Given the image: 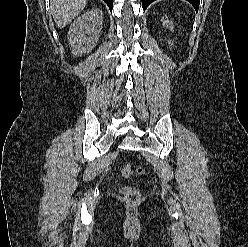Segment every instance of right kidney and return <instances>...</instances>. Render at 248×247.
Returning <instances> with one entry per match:
<instances>
[{"label":"right kidney","mask_w":248,"mask_h":247,"mask_svg":"<svg viewBox=\"0 0 248 247\" xmlns=\"http://www.w3.org/2000/svg\"><path fill=\"white\" fill-rule=\"evenodd\" d=\"M103 11L95 8L78 17L68 33L72 53L75 56L90 52L97 44L102 28Z\"/></svg>","instance_id":"1"}]
</instances>
